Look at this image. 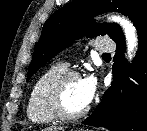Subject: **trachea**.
I'll return each mask as SVG.
<instances>
[{"label":"trachea","mask_w":147,"mask_h":131,"mask_svg":"<svg viewBox=\"0 0 147 131\" xmlns=\"http://www.w3.org/2000/svg\"><path fill=\"white\" fill-rule=\"evenodd\" d=\"M103 57H110V54L105 53L103 54Z\"/></svg>","instance_id":"3493384b"}]
</instances>
